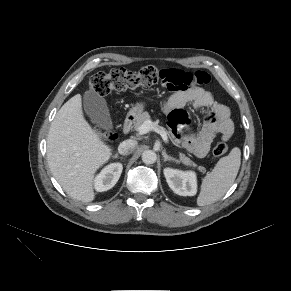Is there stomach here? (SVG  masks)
<instances>
[{"label": "stomach", "mask_w": 291, "mask_h": 291, "mask_svg": "<svg viewBox=\"0 0 291 291\" xmlns=\"http://www.w3.org/2000/svg\"><path fill=\"white\" fill-rule=\"evenodd\" d=\"M145 104L143 102L136 103L131 109L130 114L139 116L144 110Z\"/></svg>", "instance_id": "0dacf381"}]
</instances>
